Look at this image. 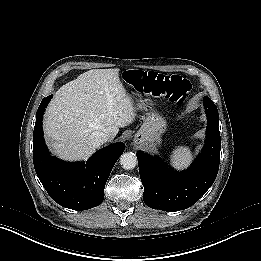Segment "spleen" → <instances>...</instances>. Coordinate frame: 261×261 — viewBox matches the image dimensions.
Wrapping results in <instances>:
<instances>
[{
	"instance_id": "3e777b00",
	"label": "spleen",
	"mask_w": 261,
	"mask_h": 261,
	"mask_svg": "<svg viewBox=\"0 0 261 261\" xmlns=\"http://www.w3.org/2000/svg\"><path fill=\"white\" fill-rule=\"evenodd\" d=\"M193 159V152L188 146H178L170 155L171 165L178 170L187 168Z\"/></svg>"
}]
</instances>
